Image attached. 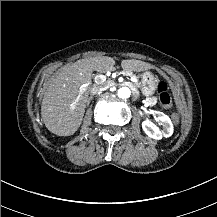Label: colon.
<instances>
[{"instance_id":"1","label":"colon","mask_w":217,"mask_h":217,"mask_svg":"<svg viewBox=\"0 0 217 217\" xmlns=\"http://www.w3.org/2000/svg\"><path fill=\"white\" fill-rule=\"evenodd\" d=\"M157 93L161 106L164 108H170L172 105V99L168 90V85L165 81H160L158 83ZM173 120L176 125H180L181 119L177 115L173 117Z\"/></svg>"}]
</instances>
